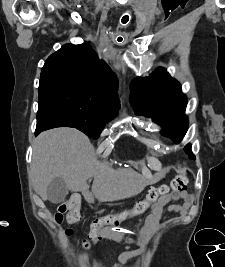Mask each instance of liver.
I'll return each instance as SVG.
<instances>
[{"instance_id":"1","label":"liver","mask_w":225,"mask_h":267,"mask_svg":"<svg viewBox=\"0 0 225 267\" xmlns=\"http://www.w3.org/2000/svg\"><path fill=\"white\" fill-rule=\"evenodd\" d=\"M29 174L44 201L48 199L47 187L56 177L64 179L73 192L86 191L87 180L93 177L92 193L101 202L137 193L127 186L116 187L113 180L118 172L98 161L88 137L74 128L51 129L35 139Z\"/></svg>"}]
</instances>
